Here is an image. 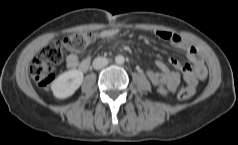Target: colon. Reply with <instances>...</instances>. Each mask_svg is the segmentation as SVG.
Instances as JSON below:
<instances>
[{
    "instance_id": "colon-1",
    "label": "colon",
    "mask_w": 238,
    "mask_h": 145,
    "mask_svg": "<svg viewBox=\"0 0 238 145\" xmlns=\"http://www.w3.org/2000/svg\"><path fill=\"white\" fill-rule=\"evenodd\" d=\"M95 34L92 32L74 33L61 40H55L44 46L33 59L30 75L36 85L47 89L55 78V66L62 60L64 49L70 52H81L92 43ZM195 94L192 87H183L178 92L180 100L191 98Z\"/></svg>"
}]
</instances>
